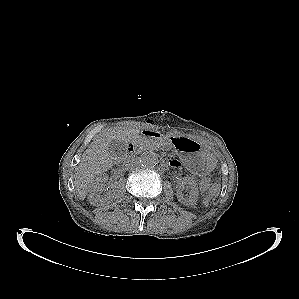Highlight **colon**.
I'll use <instances>...</instances> for the list:
<instances>
[{"label": "colon", "mask_w": 299, "mask_h": 299, "mask_svg": "<svg viewBox=\"0 0 299 299\" xmlns=\"http://www.w3.org/2000/svg\"><path fill=\"white\" fill-rule=\"evenodd\" d=\"M199 185L202 189H210L207 194H205L202 198V204L204 206H208L211 204L214 193H215V188H213L211 185V180L208 177H203L199 181Z\"/></svg>", "instance_id": "obj_1"}]
</instances>
